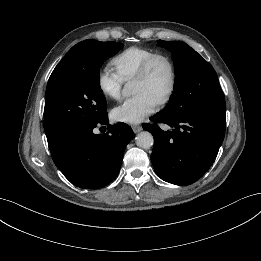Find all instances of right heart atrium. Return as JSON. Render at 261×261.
I'll use <instances>...</instances> for the list:
<instances>
[{"label":"right heart atrium","instance_id":"obj_1","mask_svg":"<svg viewBox=\"0 0 261 261\" xmlns=\"http://www.w3.org/2000/svg\"><path fill=\"white\" fill-rule=\"evenodd\" d=\"M123 80L111 69L101 68L97 74V86L103 96L118 99L121 96Z\"/></svg>","mask_w":261,"mask_h":261}]
</instances>
